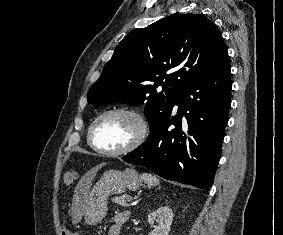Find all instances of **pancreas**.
Returning <instances> with one entry per match:
<instances>
[{"instance_id":"1","label":"pancreas","mask_w":283,"mask_h":235,"mask_svg":"<svg viewBox=\"0 0 283 235\" xmlns=\"http://www.w3.org/2000/svg\"><path fill=\"white\" fill-rule=\"evenodd\" d=\"M131 197L127 194H124L122 196L116 197L113 199V202L123 206V207H129V201H130Z\"/></svg>"}]
</instances>
